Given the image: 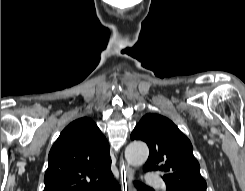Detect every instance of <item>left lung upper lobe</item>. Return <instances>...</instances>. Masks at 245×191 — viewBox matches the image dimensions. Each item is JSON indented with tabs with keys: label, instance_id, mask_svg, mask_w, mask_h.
I'll return each mask as SVG.
<instances>
[{
	"label": "left lung upper lobe",
	"instance_id": "left-lung-upper-lobe-1",
	"mask_svg": "<svg viewBox=\"0 0 245 191\" xmlns=\"http://www.w3.org/2000/svg\"><path fill=\"white\" fill-rule=\"evenodd\" d=\"M131 139L147 143L149 157L143 170L162 172L166 191H206L192 144L170 119L146 114L134 128Z\"/></svg>",
	"mask_w": 245,
	"mask_h": 191
}]
</instances>
